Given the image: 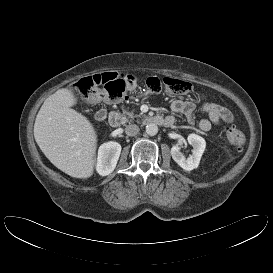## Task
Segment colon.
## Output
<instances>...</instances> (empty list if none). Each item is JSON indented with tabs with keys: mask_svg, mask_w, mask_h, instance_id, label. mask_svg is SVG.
Masks as SVG:
<instances>
[{
	"mask_svg": "<svg viewBox=\"0 0 273 273\" xmlns=\"http://www.w3.org/2000/svg\"><path fill=\"white\" fill-rule=\"evenodd\" d=\"M128 78L116 72L98 73L79 80L74 87V92L78 99L85 102H94L103 99L108 102H116L127 99L126 82ZM103 86L101 93L96 91L97 86ZM146 88L150 94H159L162 91L170 95L181 96L191 90L188 81L164 77H150L146 81ZM229 141L237 148L242 149L246 143L245 135L233 126L225 128Z\"/></svg>",
	"mask_w": 273,
	"mask_h": 273,
	"instance_id": "1",
	"label": "colon"
}]
</instances>
